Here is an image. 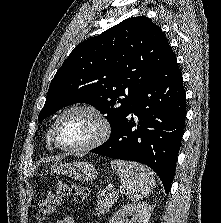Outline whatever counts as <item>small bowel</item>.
<instances>
[{
  "mask_svg": "<svg viewBox=\"0 0 221 223\" xmlns=\"http://www.w3.org/2000/svg\"><path fill=\"white\" fill-rule=\"evenodd\" d=\"M55 223H75V221L73 217L66 215L58 219Z\"/></svg>",
  "mask_w": 221,
  "mask_h": 223,
  "instance_id": "1",
  "label": "small bowel"
}]
</instances>
